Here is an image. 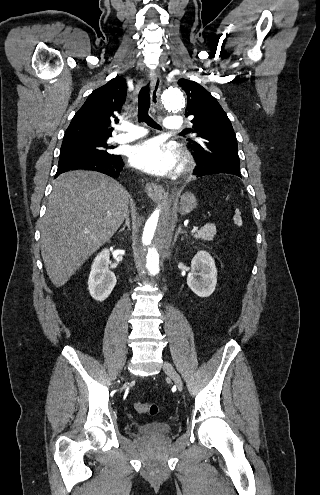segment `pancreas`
<instances>
[{"label": "pancreas", "instance_id": "cf45deb5", "mask_svg": "<svg viewBox=\"0 0 320 495\" xmlns=\"http://www.w3.org/2000/svg\"><path fill=\"white\" fill-rule=\"evenodd\" d=\"M216 234V226L212 223L206 224L194 234L195 239L212 241Z\"/></svg>", "mask_w": 320, "mask_h": 495}]
</instances>
